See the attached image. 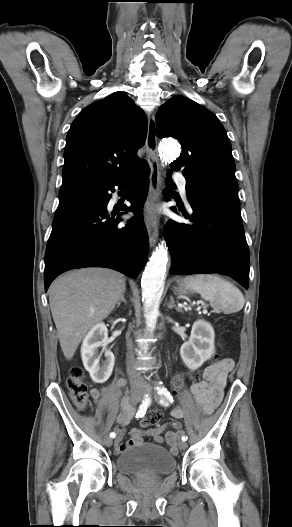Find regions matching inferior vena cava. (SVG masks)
I'll use <instances>...</instances> for the list:
<instances>
[{"label":"inferior vena cava","instance_id":"obj_1","mask_svg":"<svg viewBox=\"0 0 292 527\" xmlns=\"http://www.w3.org/2000/svg\"><path fill=\"white\" fill-rule=\"evenodd\" d=\"M129 354L127 356L128 358V365H127V371L130 379L131 387H137L143 385L144 381L141 376V374L136 370L135 366H133L131 363L133 361V353H132V346L129 345Z\"/></svg>","mask_w":292,"mask_h":527}]
</instances>
